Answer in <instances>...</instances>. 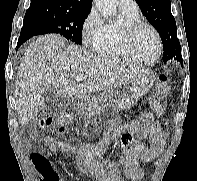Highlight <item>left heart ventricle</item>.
Returning <instances> with one entry per match:
<instances>
[{"label":"left heart ventricle","mask_w":197,"mask_h":181,"mask_svg":"<svg viewBox=\"0 0 197 181\" xmlns=\"http://www.w3.org/2000/svg\"><path fill=\"white\" fill-rule=\"evenodd\" d=\"M134 48L136 53L144 59H152L158 51V43L153 32L147 28H141L134 39Z\"/></svg>","instance_id":"left-heart-ventricle-1"}]
</instances>
